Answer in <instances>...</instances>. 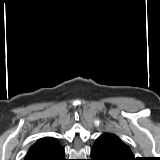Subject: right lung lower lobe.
Returning <instances> with one entry per match:
<instances>
[{"label":"right lung lower lobe","instance_id":"obj_1","mask_svg":"<svg viewBox=\"0 0 160 160\" xmlns=\"http://www.w3.org/2000/svg\"><path fill=\"white\" fill-rule=\"evenodd\" d=\"M38 160H66L65 159V151L60 146L57 150L38 158Z\"/></svg>","mask_w":160,"mask_h":160}]
</instances>
